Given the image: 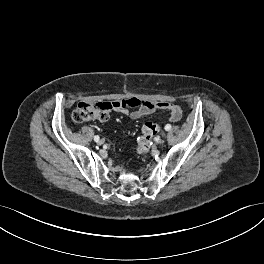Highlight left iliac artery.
Segmentation results:
<instances>
[{"label":"left iliac artery","instance_id":"1","mask_svg":"<svg viewBox=\"0 0 264 264\" xmlns=\"http://www.w3.org/2000/svg\"><path fill=\"white\" fill-rule=\"evenodd\" d=\"M171 129V125L170 124H167L166 126H165V130L166 131H169Z\"/></svg>","mask_w":264,"mask_h":264}]
</instances>
